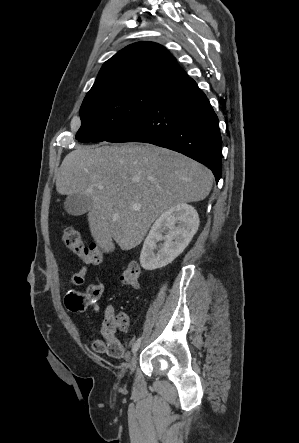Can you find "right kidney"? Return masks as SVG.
Wrapping results in <instances>:
<instances>
[{"label":"right kidney","instance_id":"obj_1","mask_svg":"<svg viewBox=\"0 0 299 443\" xmlns=\"http://www.w3.org/2000/svg\"><path fill=\"white\" fill-rule=\"evenodd\" d=\"M198 227L199 216L191 205L180 204L163 212L144 241L141 266L145 270H155L171 263L188 246ZM160 241L163 243L157 245Z\"/></svg>","mask_w":299,"mask_h":443}]
</instances>
